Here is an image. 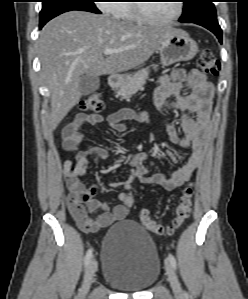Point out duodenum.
Returning <instances> with one entry per match:
<instances>
[{
    "label": "duodenum",
    "mask_w": 248,
    "mask_h": 299,
    "mask_svg": "<svg viewBox=\"0 0 248 299\" xmlns=\"http://www.w3.org/2000/svg\"><path fill=\"white\" fill-rule=\"evenodd\" d=\"M119 83H120V77L119 76H111L109 78V85L111 87H116V86L119 85Z\"/></svg>",
    "instance_id": "1"
}]
</instances>
